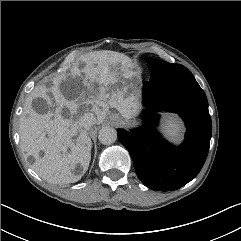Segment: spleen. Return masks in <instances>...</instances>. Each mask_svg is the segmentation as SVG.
<instances>
[{
	"mask_svg": "<svg viewBox=\"0 0 241 241\" xmlns=\"http://www.w3.org/2000/svg\"><path fill=\"white\" fill-rule=\"evenodd\" d=\"M165 130L169 136L174 137V136L178 135V133L180 132L181 129H180V125L178 122L170 120L167 122Z\"/></svg>",
	"mask_w": 241,
	"mask_h": 241,
	"instance_id": "3e777b00",
	"label": "spleen"
}]
</instances>
